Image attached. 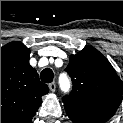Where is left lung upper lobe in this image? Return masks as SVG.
I'll use <instances>...</instances> for the list:
<instances>
[{
	"mask_svg": "<svg viewBox=\"0 0 123 123\" xmlns=\"http://www.w3.org/2000/svg\"><path fill=\"white\" fill-rule=\"evenodd\" d=\"M66 71L73 82L71 93L63 97L67 115L109 120L122 101L123 91V82L109 61L95 48L86 46L70 56Z\"/></svg>",
	"mask_w": 123,
	"mask_h": 123,
	"instance_id": "1",
	"label": "left lung upper lobe"
}]
</instances>
